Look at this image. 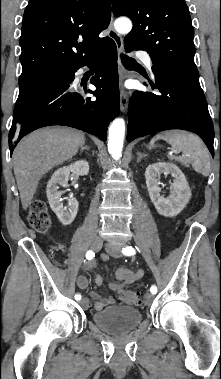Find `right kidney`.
Segmentation results:
<instances>
[{"label":"right kidney","instance_id":"1","mask_svg":"<svg viewBox=\"0 0 221 379\" xmlns=\"http://www.w3.org/2000/svg\"><path fill=\"white\" fill-rule=\"evenodd\" d=\"M89 172V164L85 160L76 161L68 166L59 168L54 172L47 184L46 194L51 209L54 211L59 221L63 225H70L78 211V201L72 196L68 199V206L64 207L61 195L64 193L59 191V186L67 187L70 173L84 176Z\"/></svg>","mask_w":221,"mask_h":379}]
</instances>
